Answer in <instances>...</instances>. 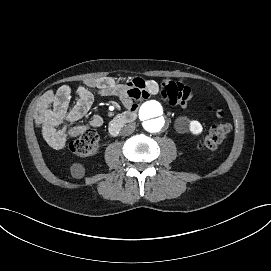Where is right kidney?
<instances>
[{"instance_id":"obj_1","label":"right kidney","mask_w":271,"mask_h":271,"mask_svg":"<svg viewBox=\"0 0 271 271\" xmlns=\"http://www.w3.org/2000/svg\"><path fill=\"white\" fill-rule=\"evenodd\" d=\"M71 171H72L73 176L78 177V178L82 177L84 174L83 167L78 164L73 165Z\"/></svg>"}]
</instances>
